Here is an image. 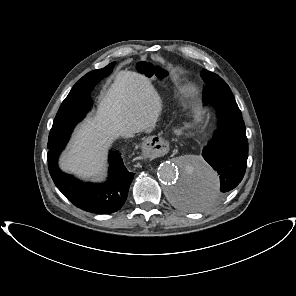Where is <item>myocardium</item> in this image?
<instances>
[{
    "instance_id": "myocardium-1",
    "label": "myocardium",
    "mask_w": 296,
    "mask_h": 296,
    "mask_svg": "<svg viewBox=\"0 0 296 296\" xmlns=\"http://www.w3.org/2000/svg\"><path fill=\"white\" fill-rule=\"evenodd\" d=\"M194 92H195V89H194V87H192V86H188V87H186V88L184 89V94H185L186 96H191V95L194 94Z\"/></svg>"
}]
</instances>
